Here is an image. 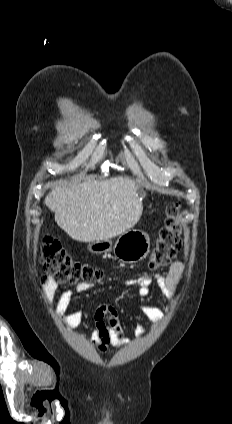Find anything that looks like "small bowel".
<instances>
[{
	"instance_id": "c3829d8e",
	"label": "small bowel",
	"mask_w": 232,
	"mask_h": 424,
	"mask_svg": "<svg viewBox=\"0 0 232 424\" xmlns=\"http://www.w3.org/2000/svg\"><path fill=\"white\" fill-rule=\"evenodd\" d=\"M188 249H183L184 259L175 261L170 265L169 271L166 274L156 273L153 276H140L128 280V283L138 287L139 295L146 297L151 293V286L155 285L161 294L171 300L174 297L176 289L183 277ZM94 284L80 283L75 287L79 293H84L92 290ZM58 290L57 284H50L49 294H55ZM73 292L71 290L61 291L58 295L56 313L61 318L62 322L67 326H76L80 324L84 317L82 310L68 312L71 305ZM143 315L153 323L161 322L166 311L158 306L142 303L140 305ZM134 333L137 337L142 336L143 328L141 325L136 326ZM91 342L96 346L101 353H109V346L118 348L122 346L126 340L123 328L120 324L118 311L111 306H101L94 313V328L91 332Z\"/></svg>"
}]
</instances>
